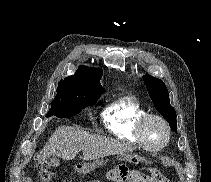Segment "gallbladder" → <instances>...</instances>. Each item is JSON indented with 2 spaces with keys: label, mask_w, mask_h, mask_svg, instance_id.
Masks as SVG:
<instances>
[{
  "label": "gallbladder",
  "mask_w": 211,
  "mask_h": 182,
  "mask_svg": "<svg viewBox=\"0 0 211 182\" xmlns=\"http://www.w3.org/2000/svg\"><path fill=\"white\" fill-rule=\"evenodd\" d=\"M49 162L53 167H57L59 165V159L56 157H50Z\"/></svg>",
  "instance_id": "bac80fb5"
}]
</instances>
